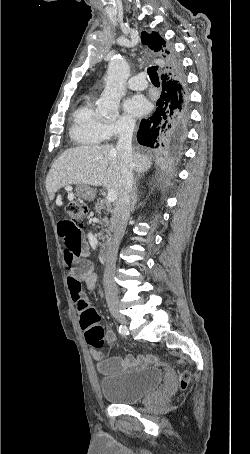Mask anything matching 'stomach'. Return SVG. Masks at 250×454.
Here are the masks:
<instances>
[{"mask_svg":"<svg viewBox=\"0 0 250 454\" xmlns=\"http://www.w3.org/2000/svg\"><path fill=\"white\" fill-rule=\"evenodd\" d=\"M96 191L88 185H79L77 190V196L88 201H92L95 198Z\"/></svg>","mask_w":250,"mask_h":454,"instance_id":"stomach-1","label":"stomach"}]
</instances>
